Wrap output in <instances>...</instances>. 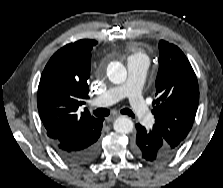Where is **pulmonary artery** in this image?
I'll list each match as a JSON object with an SVG mask.
<instances>
[{
	"instance_id": "obj_1",
	"label": "pulmonary artery",
	"mask_w": 223,
	"mask_h": 188,
	"mask_svg": "<svg viewBox=\"0 0 223 188\" xmlns=\"http://www.w3.org/2000/svg\"><path fill=\"white\" fill-rule=\"evenodd\" d=\"M148 67V60L142 54H134L128 58L127 80L110 87L93 104L101 107L110 106L123 98H128L131 110L136 118L145 126L153 122V115L146 105L142 94V85Z\"/></svg>"
}]
</instances>
